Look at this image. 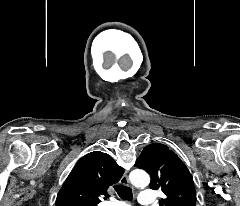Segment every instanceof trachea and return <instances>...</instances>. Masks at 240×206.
Wrapping results in <instances>:
<instances>
[{
	"instance_id": "obj_1",
	"label": "trachea",
	"mask_w": 240,
	"mask_h": 206,
	"mask_svg": "<svg viewBox=\"0 0 240 206\" xmlns=\"http://www.w3.org/2000/svg\"><path fill=\"white\" fill-rule=\"evenodd\" d=\"M114 189L120 198L129 200L132 198V191L130 187L125 185H115Z\"/></svg>"
}]
</instances>
